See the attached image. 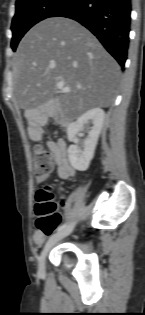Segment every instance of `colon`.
<instances>
[{
	"mask_svg": "<svg viewBox=\"0 0 145 315\" xmlns=\"http://www.w3.org/2000/svg\"><path fill=\"white\" fill-rule=\"evenodd\" d=\"M33 162L36 177H46L52 170V155L40 145L34 146ZM36 201L37 229L45 235H50L62 221L61 214L56 210V203L50 188L39 189L36 194Z\"/></svg>",
	"mask_w": 145,
	"mask_h": 315,
	"instance_id": "obj_1",
	"label": "colon"
}]
</instances>
